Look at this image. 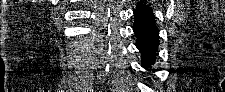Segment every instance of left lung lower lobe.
<instances>
[{"instance_id":"0a47b994","label":"left lung lower lobe","mask_w":225,"mask_h":92,"mask_svg":"<svg viewBox=\"0 0 225 92\" xmlns=\"http://www.w3.org/2000/svg\"><path fill=\"white\" fill-rule=\"evenodd\" d=\"M134 13L133 31L136 35V47L140 50L142 67L147 69L154 62L159 45V34L153 10L139 2Z\"/></svg>"}]
</instances>
